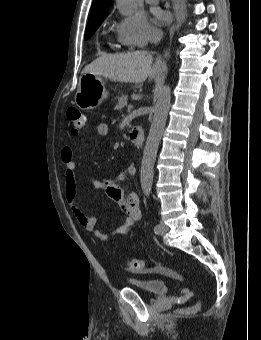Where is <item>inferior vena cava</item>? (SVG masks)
<instances>
[{
  "label": "inferior vena cava",
  "instance_id": "602c4592",
  "mask_svg": "<svg viewBox=\"0 0 261 340\" xmlns=\"http://www.w3.org/2000/svg\"><path fill=\"white\" fill-rule=\"evenodd\" d=\"M162 35L161 31H155L151 36V42L155 44L159 43L162 39Z\"/></svg>",
  "mask_w": 261,
  "mask_h": 340
}]
</instances>
